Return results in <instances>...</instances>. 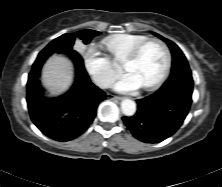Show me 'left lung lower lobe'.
<instances>
[{
	"label": "left lung lower lobe",
	"instance_id": "left-lung-lower-lobe-1",
	"mask_svg": "<svg viewBox=\"0 0 222 187\" xmlns=\"http://www.w3.org/2000/svg\"><path fill=\"white\" fill-rule=\"evenodd\" d=\"M191 71L169 79L154 94L138 99L137 111L123 121L133 136L145 143H159L182 125L192 103Z\"/></svg>",
	"mask_w": 222,
	"mask_h": 187
}]
</instances>
